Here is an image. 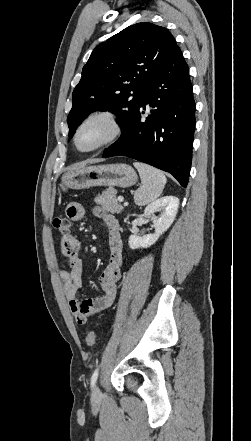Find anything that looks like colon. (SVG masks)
<instances>
[{
	"label": "colon",
	"mask_w": 251,
	"mask_h": 441,
	"mask_svg": "<svg viewBox=\"0 0 251 441\" xmlns=\"http://www.w3.org/2000/svg\"><path fill=\"white\" fill-rule=\"evenodd\" d=\"M54 229L62 236V238H67L70 236L71 222L68 217H56L53 220ZM86 344L92 346L96 341L95 331H90L85 337Z\"/></svg>",
	"instance_id": "1"
}]
</instances>
